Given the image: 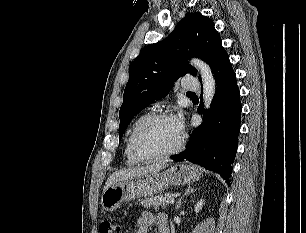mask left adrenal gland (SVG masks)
I'll use <instances>...</instances> for the list:
<instances>
[{
    "label": "left adrenal gland",
    "mask_w": 306,
    "mask_h": 233,
    "mask_svg": "<svg viewBox=\"0 0 306 233\" xmlns=\"http://www.w3.org/2000/svg\"><path fill=\"white\" fill-rule=\"evenodd\" d=\"M197 189L195 188H192V187H188L184 193V195L178 200L176 206H175V209H179L181 207V204H182V201L184 199L185 196H189L190 194L194 193Z\"/></svg>",
    "instance_id": "obj_1"
}]
</instances>
